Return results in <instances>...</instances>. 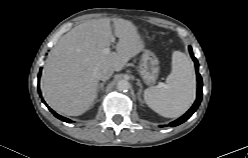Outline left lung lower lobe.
Wrapping results in <instances>:
<instances>
[{"label": "left lung lower lobe", "mask_w": 248, "mask_h": 158, "mask_svg": "<svg viewBox=\"0 0 248 158\" xmlns=\"http://www.w3.org/2000/svg\"><path fill=\"white\" fill-rule=\"evenodd\" d=\"M189 51H190V55H191L192 59L194 60L195 66H196V75H197V81H198L197 98H196V101L193 104V106L186 112V114H184L182 117H180L176 121L170 123V126H172V127L177 126V125L185 122L188 118H190V116H192V114L198 108V106L201 102V99H202V78L198 72L199 64H198V61L196 60V58L194 57L193 52H192V48L190 46H189Z\"/></svg>", "instance_id": "left-lung-lower-lobe-1"}]
</instances>
